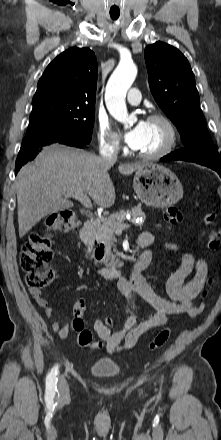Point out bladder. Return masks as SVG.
<instances>
[{
  "instance_id": "1",
  "label": "bladder",
  "mask_w": 221,
  "mask_h": 440,
  "mask_svg": "<svg viewBox=\"0 0 221 440\" xmlns=\"http://www.w3.org/2000/svg\"><path fill=\"white\" fill-rule=\"evenodd\" d=\"M90 372L101 379H112L120 374L121 367L112 359L99 358L91 364Z\"/></svg>"
}]
</instances>
